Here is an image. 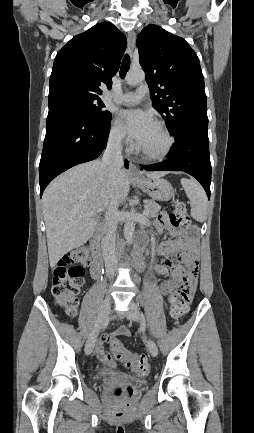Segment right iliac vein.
I'll return each instance as SVG.
<instances>
[{
  "label": "right iliac vein",
  "mask_w": 254,
  "mask_h": 433,
  "mask_svg": "<svg viewBox=\"0 0 254 433\" xmlns=\"http://www.w3.org/2000/svg\"><path fill=\"white\" fill-rule=\"evenodd\" d=\"M111 304H112V300H111V298L109 296H107L104 299L103 304L101 306L97 324H96L95 328L93 329V331L91 332V334L89 335V337H88V339L86 341V344H85V353L87 355L91 354V352L93 351L97 335H98V333H99V331L101 329V325L106 320V318H107V316H108V314L110 312Z\"/></svg>",
  "instance_id": "63e3f726"
}]
</instances>
